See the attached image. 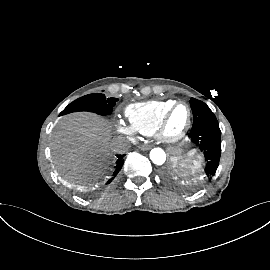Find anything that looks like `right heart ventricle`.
I'll return each mask as SVG.
<instances>
[{
  "label": "right heart ventricle",
  "instance_id": "1",
  "mask_svg": "<svg viewBox=\"0 0 270 270\" xmlns=\"http://www.w3.org/2000/svg\"><path fill=\"white\" fill-rule=\"evenodd\" d=\"M175 102L168 99L133 103L125 108V116L135 132L153 135L161 116Z\"/></svg>",
  "mask_w": 270,
  "mask_h": 270
}]
</instances>
